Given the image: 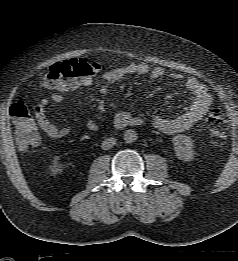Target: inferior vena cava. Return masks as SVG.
<instances>
[{"instance_id": "602c4592", "label": "inferior vena cava", "mask_w": 238, "mask_h": 261, "mask_svg": "<svg viewBox=\"0 0 238 261\" xmlns=\"http://www.w3.org/2000/svg\"><path fill=\"white\" fill-rule=\"evenodd\" d=\"M116 144V139L115 138H107L104 140L101 144V147L103 150H108L112 148Z\"/></svg>"}]
</instances>
